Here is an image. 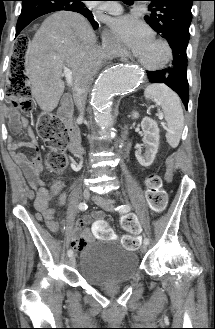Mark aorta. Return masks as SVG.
<instances>
[{"instance_id":"1","label":"aorta","mask_w":215,"mask_h":329,"mask_svg":"<svg viewBox=\"0 0 215 329\" xmlns=\"http://www.w3.org/2000/svg\"><path fill=\"white\" fill-rule=\"evenodd\" d=\"M141 80L142 74L138 68L121 64L109 66L98 76L91 92V103L98 126L111 127V103L114 95L134 91Z\"/></svg>"}]
</instances>
